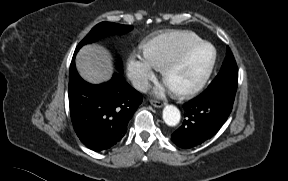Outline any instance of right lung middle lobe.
Here are the masks:
<instances>
[{"label": "right lung middle lobe", "mask_w": 288, "mask_h": 181, "mask_svg": "<svg viewBox=\"0 0 288 181\" xmlns=\"http://www.w3.org/2000/svg\"><path fill=\"white\" fill-rule=\"evenodd\" d=\"M131 25H120L116 23L111 22H102L97 24L92 28V30L87 34V36L79 43L77 46L74 56L77 53V51L85 44L92 43L95 40L99 39L102 36L108 35V34H123L126 32H129L132 30ZM120 70H122L121 64L119 65Z\"/></svg>", "instance_id": "right-lung-middle-lobe-1"}]
</instances>
